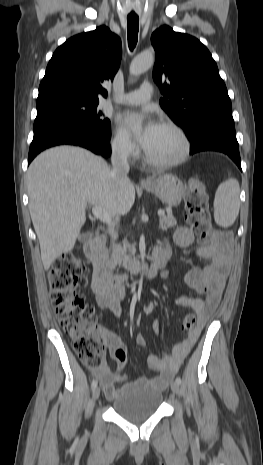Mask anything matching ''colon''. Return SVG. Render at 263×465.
<instances>
[{
    "label": "colon",
    "instance_id": "5ec220e1",
    "mask_svg": "<svg viewBox=\"0 0 263 465\" xmlns=\"http://www.w3.org/2000/svg\"><path fill=\"white\" fill-rule=\"evenodd\" d=\"M186 222L206 243L214 237L208 212V194L205 184L192 178L185 192ZM50 297L59 324L71 337L73 349L82 363L92 370L104 367L105 340L96 326L94 308L77 292L86 284L83 267L72 253L61 256L53 264L49 276ZM197 317L188 314L183 320V330L196 328Z\"/></svg>",
    "mask_w": 263,
    "mask_h": 465
}]
</instances>
